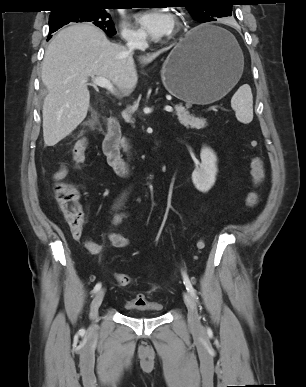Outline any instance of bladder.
<instances>
[{"instance_id": "1", "label": "bladder", "mask_w": 306, "mask_h": 387, "mask_svg": "<svg viewBox=\"0 0 306 387\" xmlns=\"http://www.w3.org/2000/svg\"><path fill=\"white\" fill-rule=\"evenodd\" d=\"M125 310L130 316L148 315L151 317L161 316L164 312V307L161 303L144 299L141 305H133L129 302L125 304Z\"/></svg>"}]
</instances>
